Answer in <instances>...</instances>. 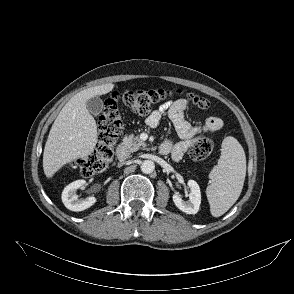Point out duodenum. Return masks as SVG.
<instances>
[{
  "label": "duodenum",
  "mask_w": 294,
  "mask_h": 294,
  "mask_svg": "<svg viewBox=\"0 0 294 294\" xmlns=\"http://www.w3.org/2000/svg\"><path fill=\"white\" fill-rule=\"evenodd\" d=\"M168 149V146L165 144V143H162L160 146H159V151L163 154L166 153ZM116 154H117V157L118 159L121 161V162H124L126 161L127 159V148L125 146V144L121 143L118 147H117V150H116Z\"/></svg>",
  "instance_id": "410a0bca"
}]
</instances>
